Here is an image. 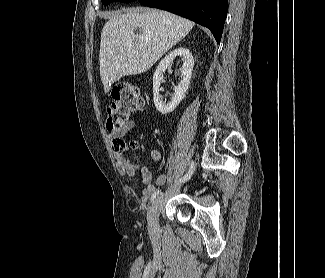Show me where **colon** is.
<instances>
[{
    "label": "colon",
    "instance_id": "colon-1",
    "mask_svg": "<svg viewBox=\"0 0 325 278\" xmlns=\"http://www.w3.org/2000/svg\"><path fill=\"white\" fill-rule=\"evenodd\" d=\"M146 107V102L137 87L133 85H119L111 92V102L107 108L106 128L115 131L128 122L131 116ZM116 151L123 152L128 146L118 139L115 143ZM136 149L138 145L133 142L129 146Z\"/></svg>",
    "mask_w": 325,
    "mask_h": 278
}]
</instances>
